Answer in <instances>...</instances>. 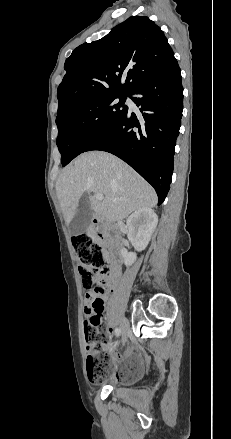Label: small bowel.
<instances>
[{
	"label": "small bowel",
	"instance_id": "1",
	"mask_svg": "<svg viewBox=\"0 0 231 439\" xmlns=\"http://www.w3.org/2000/svg\"><path fill=\"white\" fill-rule=\"evenodd\" d=\"M113 274L117 275L119 273V268L117 267H113ZM105 293L103 292H97V291H89L86 293V297H85V309H84V314L86 317V320L84 321V328L85 326H87L89 324V322L92 319H96L97 324L102 325V321H103V317H104V306H105ZM95 300H99L102 305H103V309L101 312H96L92 306L93 302ZM108 349H112V346L110 344V346H103L102 350H108ZM93 352L97 353L99 352V350H93Z\"/></svg>",
	"mask_w": 231,
	"mask_h": 439
}]
</instances>
